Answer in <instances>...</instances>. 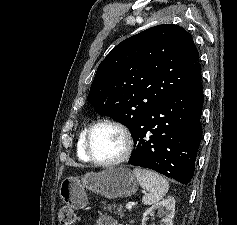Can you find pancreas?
<instances>
[{"label":"pancreas","mask_w":237,"mask_h":225,"mask_svg":"<svg viewBox=\"0 0 237 225\" xmlns=\"http://www.w3.org/2000/svg\"><path fill=\"white\" fill-rule=\"evenodd\" d=\"M105 208H107L110 212L112 211L113 208L115 214H118L120 218L124 217V207L122 204H119L118 206L116 204L112 205L108 204Z\"/></svg>","instance_id":"pancreas-1"}]
</instances>
